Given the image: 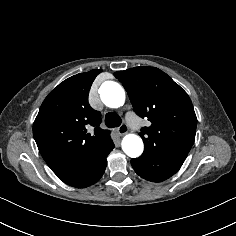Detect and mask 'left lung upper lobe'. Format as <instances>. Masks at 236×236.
<instances>
[{"mask_svg": "<svg viewBox=\"0 0 236 236\" xmlns=\"http://www.w3.org/2000/svg\"><path fill=\"white\" fill-rule=\"evenodd\" d=\"M126 89L133 110L146 117L143 154L184 161L194 143L197 118L187 93L158 68L141 66L115 72Z\"/></svg>", "mask_w": 236, "mask_h": 236, "instance_id": "5c2ea615", "label": "left lung upper lobe"}]
</instances>
